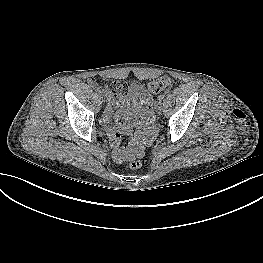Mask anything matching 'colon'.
<instances>
[{"label": "colon", "mask_w": 263, "mask_h": 263, "mask_svg": "<svg viewBox=\"0 0 263 263\" xmlns=\"http://www.w3.org/2000/svg\"><path fill=\"white\" fill-rule=\"evenodd\" d=\"M133 87H135V85ZM170 87H171L170 82L168 80L162 78V77L161 78L152 79L149 82V88L155 94L160 93V92H165L166 93V92H168ZM138 98L140 100V103L144 105V109H143V113H144L143 115H145L144 118L147 119V120L152 119L154 117V115H153V108H154V106L156 104V101L152 100L150 98V96L147 99H145V100H142L140 97H138ZM120 140H121V135L119 134V132H113V134H112V144L115 146V148L119 147ZM144 150H145V146L140 144V143H138L137 144V153L134 154L129 159V167L131 169H139V168H141V166L143 164L142 157L144 155Z\"/></svg>", "instance_id": "5ec220e1"}]
</instances>
